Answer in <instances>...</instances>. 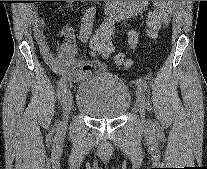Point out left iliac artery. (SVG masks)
Returning <instances> with one entry per match:
<instances>
[{
  "instance_id": "obj_1",
  "label": "left iliac artery",
  "mask_w": 207,
  "mask_h": 169,
  "mask_svg": "<svg viewBox=\"0 0 207 169\" xmlns=\"http://www.w3.org/2000/svg\"><path fill=\"white\" fill-rule=\"evenodd\" d=\"M126 37L128 38L130 51H137L136 43H138V39H140V34H136V30H131V34H128ZM136 85L138 89L144 92H148V85L145 79L143 78L137 79Z\"/></svg>"
}]
</instances>
